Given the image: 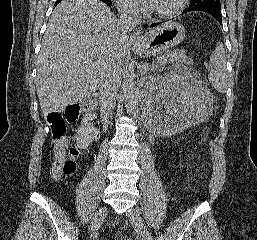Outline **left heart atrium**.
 <instances>
[{
    "label": "left heart atrium",
    "mask_w": 257,
    "mask_h": 240,
    "mask_svg": "<svg viewBox=\"0 0 257 240\" xmlns=\"http://www.w3.org/2000/svg\"><path fill=\"white\" fill-rule=\"evenodd\" d=\"M139 3L147 10H154L158 0H138Z\"/></svg>",
    "instance_id": "1"
}]
</instances>
